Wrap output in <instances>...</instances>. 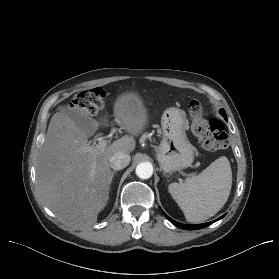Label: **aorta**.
Masks as SVG:
<instances>
[{"mask_svg":"<svg viewBox=\"0 0 279 279\" xmlns=\"http://www.w3.org/2000/svg\"><path fill=\"white\" fill-rule=\"evenodd\" d=\"M136 175L141 179H149L153 174V166L149 162L139 163L136 167Z\"/></svg>","mask_w":279,"mask_h":279,"instance_id":"1","label":"aorta"}]
</instances>
